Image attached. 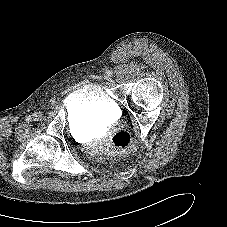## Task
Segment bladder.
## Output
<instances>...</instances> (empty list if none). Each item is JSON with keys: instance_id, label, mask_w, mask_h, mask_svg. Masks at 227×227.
I'll return each instance as SVG.
<instances>
[{"instance_id": "obj_1", "label": "bladder", "mask_w": 227, "mask_h": 227, "mask_svg": "<svg viewBox=\"0 0 227 227\" xmlns=\"http://www.w3.org/2000/svg\"><path fill=\"white\" fill-rule=\"evenodd\" d=\"M73 125L110 124L120 115L116 100L97 83L86 84L73 91L66 100Z\"/></svg>"}]
</instances>
